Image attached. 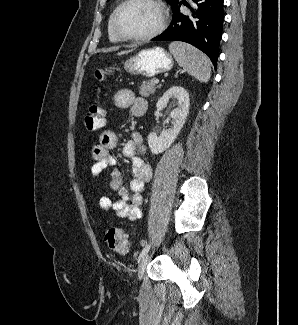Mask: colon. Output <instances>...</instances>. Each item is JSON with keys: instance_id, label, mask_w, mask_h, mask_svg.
Masks as SVG:
<instances>
[{"instance_id": "colon-1", "label": "colon", "mask_w": 298, "mask_h": 325, "mask_svg": "<svg viewBox=\"0 0 298 325\" xmlns=\"http://www.w3.org/2000/svg\"><path fill=\"white\" fill-rule=\"evenodd\" d=\"M97 82H103L105 79L104 72L97 69L94 73ZM105 124V110L96 100L88 109L84 117V125L88 132H96ZM105 241L109 248L114 252L125 255L130 250L128 236L126 232L117 227H110L105 231Z\"/></svg>"}]
</instances>
